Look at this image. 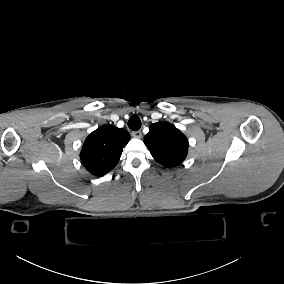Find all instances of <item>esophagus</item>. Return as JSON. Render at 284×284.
Returning <instances> with one entry per match:
<instances>
[{"instance_id": "esophagus-1", "label": "esophagus", "mask_w": 284, "mask_h": 284, "mask_svg": "<svg viewBox=\"0 0 284 284\" xmlns=\"http://www.w3.org/2000/svg\"><path fill=\"white\" fill-rule=\"evenodd\" d=\"M131 135H132L134 138H141V137H142L141 131H133V132L131 133Z\"/></svg>"}]
</instances>
